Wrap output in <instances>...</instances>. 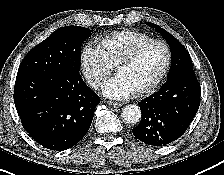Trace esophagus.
<instances>
[{
    "label": "esophagus",
    "mask_w": 224,
    "mask_h": 175,
    "mask_svg": "<svg viewBox=\"0 0 224 175\" xmlns=\"http://www.w3.org/2000/svg\"><path fill=\"white\" fill-rule=\"evenodd\" d=\"M107 104L111 107H114V108H119L121 107V103H118V102H113V101H107Z\"/></svg>",
    "instance_id": "34e87169"
}]
</instances>
